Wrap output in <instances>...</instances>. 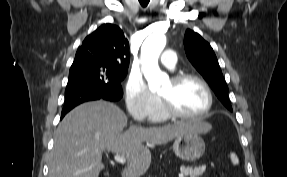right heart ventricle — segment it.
I'll return each instance as SVG.
<instances>
[{
	"mask_svg": "<svg viewBox=\"0 0 287 177\" xmlns=\"http://www.w3.org/2000/svg\"><path fill=\"white\" fill-rule=\"evenodd\" d=\"M167 119V115L163 111V108L161 105H159L158 110L154 117L152 118L153 121L155 122H164Z\"/></svg>",
	"mask_w": 287,
	"mask_h": 177,
	"instance_id": "1",
	"label": "right heart ventricle"
}]
</instances>
